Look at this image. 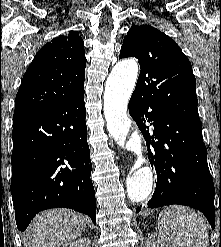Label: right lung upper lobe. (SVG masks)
I'll return each mask as SVG.
<instances>
[{"mask_svg":"<svg viewBox=\"0 0 221 247\" xmlns=\"http://www.w3.org/2000/svg\"><path fill=\"white\" fill-rule=\"evenodd\" d=\"M85 67L84 45L78 31L48 42L23 76L13 117L57 108L81 98Z\"/></svg>","mask_w":221,"mask_h":247,"instance_id":"obj_1","label":"right lung upper lobe"}]
</instances>
